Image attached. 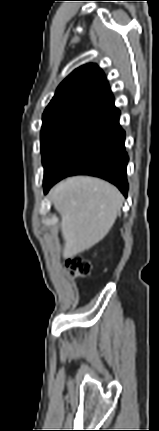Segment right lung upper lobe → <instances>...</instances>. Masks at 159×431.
<instances>
[{
    "label": "right lung upper lobe",
    "instance_id": "1",
    "mask_svg": "<svg viewBox=\"0 0 159 431\" xmlns=\"http://www.w3.org/2000/svg\"><path fill=\"white\" fill-rule=\"evenodd\" d=\"M114 108L105 74L96 64H86L58 86L43 118L71 117L88 122Z\"/></svg>",
    "mask_w": 159,
    "mask_h": 431
}]
</instances>
